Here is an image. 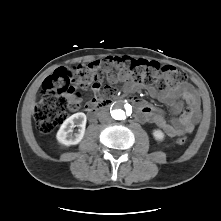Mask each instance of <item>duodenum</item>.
Segmentation results:
<instances>
[{
	"mask_svg": "<svg viewBox=\"0 0 221 221\" xmlns=\"http://www.w3.org/2000/svg\"><path fill=\"white\" fill-rule=\"evenodd\" d=\"M112 104V100L110 99H103V100H98L94 105H92L90 108H89V111H88V117L91 119V120H94L98 117V115L108 109Z\"/></svg>",
	"mask_w": 221,
	"mask_h": 221,
	"instance_id": "1",
	"label": "duodenum"
}]
</instances>
